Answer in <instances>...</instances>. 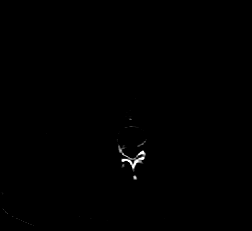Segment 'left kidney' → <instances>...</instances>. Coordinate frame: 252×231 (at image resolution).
Segmentation results:
<instances>
[{
  "mask_svg": "<svg viewBox=\"0 0 252 231\" xmlns=\"http://www.w3.org/2000/svg\"><path fill=\"white\" fill-rule=\"evenodd\" d=\"M169 117L178 120L182 127L180 134H171L169 136V142L178 148H185L189 146L196 134V128L193 122L185 115L178 113H172Z\"/></svg>",
  "mask_w": 252,
  "mask_h": 231,
  "instance_id": "5707ae66",
  "label": "left kidney"
}]
</instances>
